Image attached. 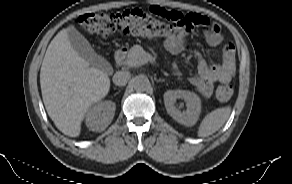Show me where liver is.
Instances as JSON below:
<instances>
[{"mask_svg": "<svg viewBox=\"0 0 292 184\" xmlns=\"http://www.w3.org/2000/svg\"><path fill=\"white\" fill-rule=\"evenodd\" d=\"M71 28L61 30L49 44L40 70V86L55 126L65 135L77 137L89 107L107 95L110 79L72 48L67 34Z\"/></svg>", "mask_w": 292, "mask_h": 184, "instance_id": "liver-1", "label": "liver"}]
</instances>
